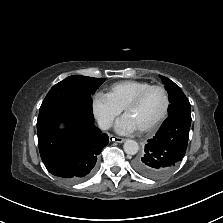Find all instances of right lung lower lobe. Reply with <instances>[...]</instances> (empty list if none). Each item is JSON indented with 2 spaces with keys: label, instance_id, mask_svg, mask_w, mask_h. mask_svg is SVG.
I'll return each instance as SVG.
<instances>
[{
  "label": "right lung lower lobe",
  "instance_id": "obj_1",
  "mask_svg": "<svg viewBox=\"0 0 223 223\" xmlns=\"http://www.w3.org/2000/svg\"><path fill=\"white\" fill-rule=\"evenodd\" d=\"M65 123L64 130L59 124ZM38 145L47 170L68 183L82 182L95 171L97 157L108 144L94 125L92 108L73 99L39 111Z\"/></svg>",
  "mask_w": 223,
  "mask_h": 223
}]
</instances>
